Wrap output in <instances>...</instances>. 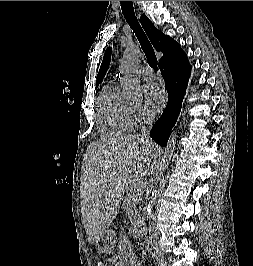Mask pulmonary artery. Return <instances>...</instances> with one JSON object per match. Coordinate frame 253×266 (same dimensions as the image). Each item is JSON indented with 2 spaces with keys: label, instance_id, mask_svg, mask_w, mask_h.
Instances as JSON below:
<instances>
[{
  "label": "pulmonary artery",
  "instance_id": "pulmonary-artery-1",
  "mask_svg": "<svg viewBox=\"0 0 253 266\" xmlns=\"http://www.w3.org/2000/svg\"><path fill=\"white\" fill-rule=\"evenodd\" d=\"M139 75L142 79L150 81L154 78V72L150 67H143L139 70Z\"/></svg>",
  "mask_w": 253,
  "mask_h": 266
}]
</instances>
